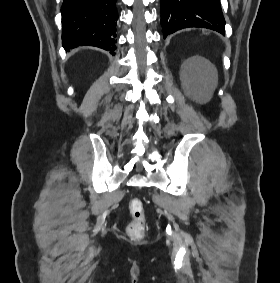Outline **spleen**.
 <instances>
[{"mask_svg":"<svg viewBox=\"0 0 280 283\" xmlns=\"http://www.w3.org/2000/svg\"><path fill=\"white\" fill-rule=\"evenodd\" d=\"M212 73V76L207 79V85L210 89H213L217 83V72L214 67H212Z\"/></svg>","mask_w":280,"mask_h":283,"instance_id":"spleen-1","label":"spleen"}]
</instances>
